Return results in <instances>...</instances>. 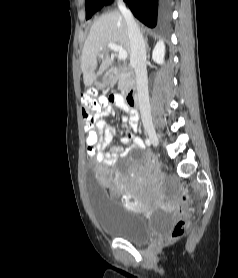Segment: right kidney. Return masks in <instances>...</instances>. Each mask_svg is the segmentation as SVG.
<instances>
[{"instance_id": "ca27d5eb", "label": "right kidney", "mask_w": 238, "mask_h": 278, "mask_svg": "<svg viewBox=\"0 0 238 278\" xmlns=\"http://www.w3.org/2000/svg\"><path fill=\"white\" fill-rule=\"evenodd\" d=\"M164 55H165V45L163 41H159L152 53V59L154 62L158 64H162L164 62Z\"/></svg>"}]
</instances>
